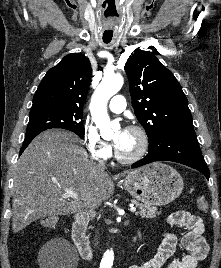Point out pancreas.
<instances>
[{"instance_id": "cf45deb5", "label": "pancreas", "mask_w": 221, "mask_h": 268, "mask_svg": "<svg viewBox=\"0 0 221 268\" xmlns=\"http://www.w3.org/2000/svg\"><path fill=\"white\" fill-rule=\"evenodd\" d=\"M131 202L132 204L139 207L140 211L138 212V214L142 217L154 218L156 217V215L160 214V212L157 211L158 210L157 207H150L143 203H139L136 200H132Z\"/></svg>"}]
</instances>
